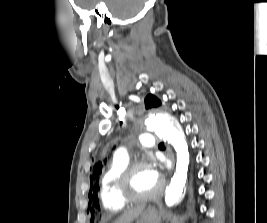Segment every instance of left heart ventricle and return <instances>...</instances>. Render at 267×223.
I'll list each match as a JSON object with an SVG mask.
<instances>
[{
  "mask_svg": "<svg viewBox=\"0 0 267 223\" xmlns=\"http://www.w3.org/2000/svg\"><path fill=\"white\" fill-rule=\"evenodd\" d=\"M159 180L152 175V169L141 167L133 174L130 182V190L134 194L144 195L157 189Z\"/></svg>",
  "mask_w": 267,
  "mask_h": 223,
  "instance_id": "b2bd125f",
  "label": "left heart ventricle"
}]
</instances>
